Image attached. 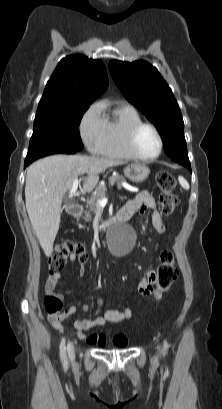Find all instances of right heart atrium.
<instances>
[{"instance_id": "obj_1", "label": "right heart atrium", "mask_w": 222, "mask_h": 409, "mask_svg": "<svg viewBox=\"0 0 222 409\" xmlns=\"http://www.w3.org/2000/svg\"><path fill=\"white\" fill-rule=\"evenodd\" d=\"M79 132L87 149L92 153H98L105 134V119L99 103L92 104L83 113Z\"/></svg>"}]
</instances>
